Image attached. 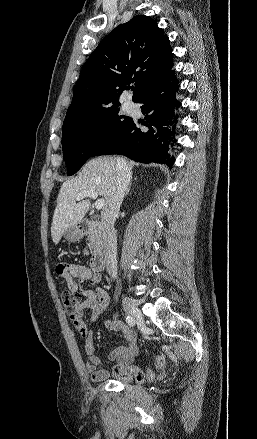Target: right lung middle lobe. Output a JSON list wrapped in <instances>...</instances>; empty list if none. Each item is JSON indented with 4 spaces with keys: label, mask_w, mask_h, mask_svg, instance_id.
<instances>
[{
    "label": "right lung middle lobe",
    "mask_w": 257,
    "mask_h": 439,
    "mask_svg": "<svg viewBox=\"0 0 257 439\" xmlns=\"http://www.w3.org/2000/svg\"><path fill=\"white\" fill-rule=\"evenodd\" d=\"M113 104L63 123L62 148L68 175L75 174L104 142L121 132L131 117L119 115Z\"/></svg>",
    "instance_id": "obj_1"
}]
</instances>
